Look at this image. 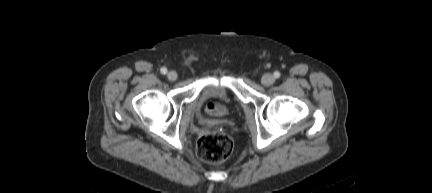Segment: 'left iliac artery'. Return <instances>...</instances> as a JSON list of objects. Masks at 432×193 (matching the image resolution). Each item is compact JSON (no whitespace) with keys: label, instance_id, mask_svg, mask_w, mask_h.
<instances>
[{"label":"left iliac artery","instance_id":"obj_1","mask_svg":"<svg viewBox=\"0 0 432 193\" xmlns=\"http://www.w3.org/2000/svg\"><path fill=\"white\" fill-rule=\"evenodd\" d=\"M274 77H275V78H279V77H280V72L275 71V72H274Z\"/></svg>","mask_w":432,"mask_h":193}]
</instances>
